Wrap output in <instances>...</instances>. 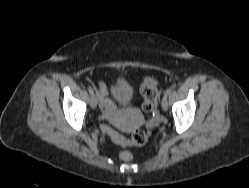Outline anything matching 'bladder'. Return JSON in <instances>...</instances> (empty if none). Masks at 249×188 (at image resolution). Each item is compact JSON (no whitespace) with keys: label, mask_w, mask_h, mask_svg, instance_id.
Returning <instances> with one entry per match:
<instances>
[{"label":"bladder","mask_w":249,"mask_h":188,"mask_svg":"<svg viewBox=\"0 0 249 188\" xmlns=\"http://www.w3.org/2000/svg\"><path fill=\"white\" fill-rule=\"evenodd\" d=\"M115 100L125 106H129L134 100V89L126 82H119L112 89Z\"/></svg>","instance_id":"1"}]
</instances>
